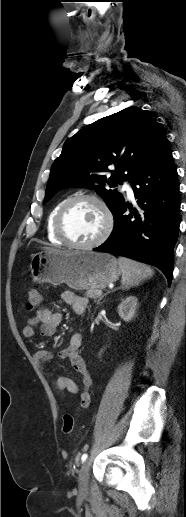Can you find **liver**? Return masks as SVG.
Segmentation results:
<instances>
[{"label": "liver", "mask_w": 186, "mask_h": 517, "mask_svg": "<svg viewBox=\"0 0 186 517\" xmlns=\"http://www.w3.org/2000/svg\"><path fill=\"white\" fill-rule=\"evenodd\" d=\"M44 249L46 251H49V252H55V253H61V254H66L68 252L66 251H61V250H58V249H54V248H49V247H44Z\"/></svg>", "instance_id": "liver-1"}]
</instances>
